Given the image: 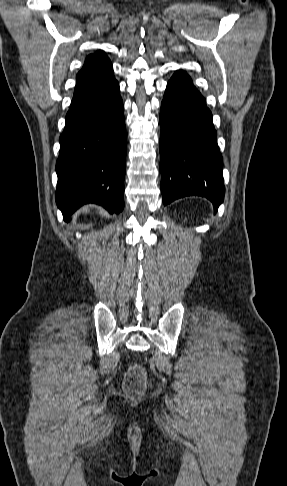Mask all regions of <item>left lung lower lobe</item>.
<instances>
[{"label":"left lung lower lobe","instance_id":"0a47b994","mask_svg":"<svg viewBox=\"0 0 287 486\" xmlns=\"http://www.w3.org/2000/svg\"><path fill=\"white\" fill-rule=\"evenodd\" d=\"M160 172L164 205L189 195L223 202L222 156L212 113L183 70L168 81L160 110Z\"/></svg>","mask_w":287,"mask_h":486}]
</instances>
